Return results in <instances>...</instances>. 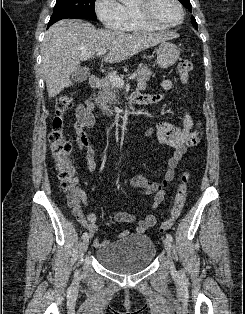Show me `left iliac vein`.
<instances>
[{"label":"left iliac vein","mask_w":245,"mask_h":314,"mask_svg":"<svg viewBox=\"0 0 245 314\" xmlns=\"http://www.w3.org/2000/svg\"><path fill=\"white\" fill-rule=\"evenodd\" d=\"M163 243H164V247L167 251V255H168V259H169V263H170V269L172 272H174L175 267H174L173 262L171 261V242L169 239L166 238V239H164Z\"/></svg>","instance_id":"1"}]
</instances>
